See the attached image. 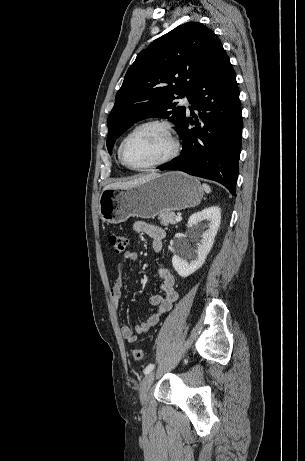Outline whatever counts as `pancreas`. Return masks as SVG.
I'll use <instances>...</instances> for the list:
<instances>
[{
  "label": "pancreas",
  "mask_w": 305,
  "mask_h": 461,
  "mask_svg": "<svg viewBox=\"0 0 305 461\" xmlns=\"http://www.w3.org/2000/svg\"><path fill=\"white\" fill-rule=\"evenodd\" d=\"M158 220H160V224L163 226H168L169 224L174 225L177 223L175 220V213L169 211L159 213Z\"/></svg>",
  "instance_id": "cf45deb5"
}]
</instances>
